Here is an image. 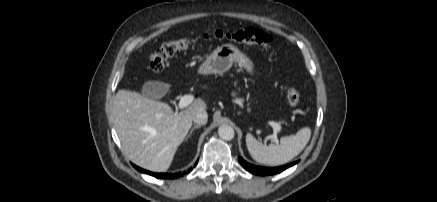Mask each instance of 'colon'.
<instances>
[{"label": "colon", "mask_w": 437, "mask_h": 202, "mask_svg": "<svg viewBox=\"0 0 437 202\" xmlns=\"http://www.w3.org/2000/svg\"><path fill=\"white\" fill-rule=\"evenodd\" d=\"M230 41L246 45H260L267 49L272 48L273 38L268 33L255 29L244 28L236 31L216 30L204 34L199 39L177 38L167 41L157 49L149 59V68L153 72H160L166 66L168 60L176 54L194 46L199 41ZM287 101L291 106H297L300 102V93L296 87L287 90Z\"/></svg>", "instance_id": "5ec220e1"}]
</instances>
